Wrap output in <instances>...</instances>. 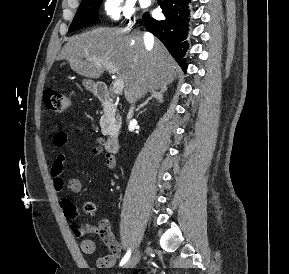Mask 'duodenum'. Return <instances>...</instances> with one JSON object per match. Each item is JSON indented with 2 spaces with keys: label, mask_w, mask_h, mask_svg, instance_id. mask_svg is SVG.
<instances>
[{
  "label": "duodenum",
  "mask_w": 289,
  "mask_h": 274,
  "mask_svg": "<svg viewBox=\"0 0 289 274\" xmlns=\"http://www.w3.org/2000/svg\"><path fill=\"white\" fill-rule=\"evenodd\" d=\"M97 98L104 104L107 110H114L116 108V103L112 93L110 92L108 86L104 83L96 84L94 88ZM105 149L109 153L115 154L119 150V139L115 134L109 136L105 143Z\"/></svg>",
  "instance_id": "obj_1"
}]
</instances>
